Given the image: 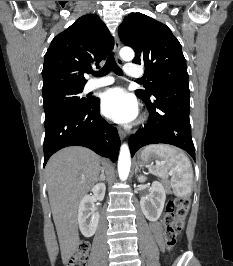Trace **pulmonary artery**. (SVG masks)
<instances>
[{"mask_svg":"<svg viewBox=\"0 0 233 266\" xmlns=\"http://www.w3.org/2000/svg\"><path fill=\"white\" fill-rule=\"evenodd\" d=\"M125 73L130 76V77H134V78H138L141 77L143 75L142 71H140L136 65L134 64H128L125 66ZM114 83V78L110 77V76H106L103 78H98V79H93L90 80L87 84L85 89L87 91H92L94 89L100 88V87H104V86H108Z\"/></svg>","mask_w":233,"mask_h":266,"instance_id":"obj_1","label":"pulmonary artery"}]
</instances>
